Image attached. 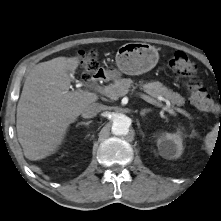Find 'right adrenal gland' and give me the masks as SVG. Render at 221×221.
I'll return each mask as SVG.
<instances>
[{
  "label": "right adrenal gland",
  "instance_id": "1",
  "mask_svg": "<svg viewBox=\"0 0 221 221\" xmlns=\"http://www.w3.org/2000/svg\"><path fill=\"white\" fill-rule=\"evenodd\" d=\"M91 123V121H87V122H79L76 126L78 127L79 125H86L88 126Z\"/></svg>",
  "mask_w": 221,
  "mask_h": 221
}]
</instances>
